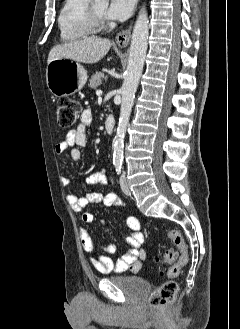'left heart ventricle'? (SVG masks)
I'll return each mask as SVG.
<instances>
[{"label":"left heart ventricle","instance_id":"b2bd125f","mask_svg":"<svg viewBox=\"0 0 240 329\" xmlns=\"http://www.w3.org/2000/svg\"><path fill=\"white\" fill-rule=\"evenodd\" d=\"M93 6L95 7V9L97 10L98 13H100L103 16L105 15L106 3H104V2H94Z\"/></svg>","mask_w":240,"mask_h":329}]
</instances>
